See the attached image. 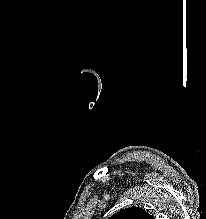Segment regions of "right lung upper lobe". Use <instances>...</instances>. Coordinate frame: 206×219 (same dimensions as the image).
<instances>
[{
	"mask_svg": "<svg viewBox=\"0 0 206 219\" xmlns=\"http://www.w3.org/2000/svg\"><path fill=\"white\" fill-rule=\"evenodd\" d=\"M109 219H154L148 212L139 207H131L120 210Z\"/></svg>",
	"mask_w": 206,
	"mask_h": 219,
	"instance_id": "1",
	"label": "right lung upper lobe"
}]
</instances>
